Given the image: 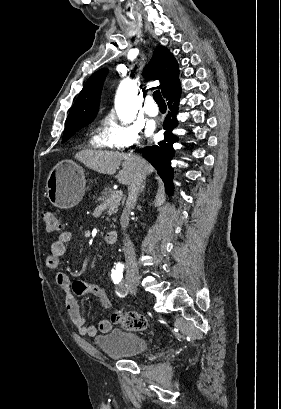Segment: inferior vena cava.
Returning a JSON list of instances; mask_svg holds the SVG:
<instances>
[{
    "mask_svg": "<svg viewBox=\"0 0 281 409\" xmlns=\"http://www.w3.org/2000/svg\"><path fill=\"white\" fill-rule=\"evenodd\" d=\"M134 164V176L128 186V194L132 200H136L137 194L143 186L145 172L144 168V160L141 158H133L132 160ZM129 215L130 211H126L125 215H122L120 219V225L122 227L124 239V253H125V261H126V281L131 283V281H139V273L138 267L136 263L134 245L131 243L128 235H125V231L127 227H129Z\"/></svg>",
    "mask_w": 281,
    "mask_h": 409,
    "instance_id": "obj_1",
    "label": "inferior vena cava"
}]
</instances>
